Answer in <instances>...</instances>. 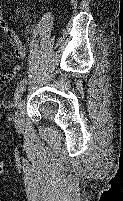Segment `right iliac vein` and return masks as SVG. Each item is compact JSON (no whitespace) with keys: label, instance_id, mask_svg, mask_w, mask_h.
I'll use <instances>...</instances> for the list:
<instances>
[{"label":"right iliac vein","instance_id":"right-iliac-vein-1","mask_svg":"<svg viewBox=\"0 0 123 201\" xmlns=\"http://www.w3.org/2000/svg\"><path fill=\"white\" fill-rule=\"evenodd\" d=\"M24 99L22 98L18 103L17 110L15 112L14 122L17 128H21L23 125V117H24Z\"/></svg>","mask_w":123,"mask_h":201}]
</instances>
